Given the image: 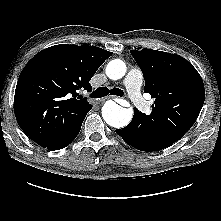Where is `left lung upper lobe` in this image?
<instances>
[{
    "instance_id": "obj_1",
    "label": "left lung upper lobe",
    "mask_w": 221,
    "mask_h": 221,
    "mask_svg": "<svg viewBox=\"0 0 221 221\" xmlns=\"http://www.w3.org/2000/svg\"><path fill=\"white\" fill-rule=\"evenodd\" d=\"M130 53L143 72L144 91L155 98L151 114L139 112L133 126L151 150L164 149L195 123L205 98L202 78L179 55L152 49Z\"/></svg>"
}]
</instances>
